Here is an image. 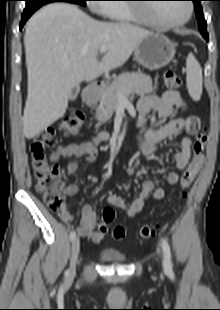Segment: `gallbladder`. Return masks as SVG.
<instances>
[{"label":"gallbladder","instance_id":"obj_1","mask_svg":"<svg viewBox=\"0 0 220 310\" xmlns=\"http://www.w3.org/2000/svg\"><path fill=\"white\" fill-rule=\"evenodd\" d=\"M79 91H80V86L79 85H76V86L73 87L71 95H70V100L71 101H74L77 98V95H78Z\"/></svg>","mask_w":220,"mask_h":310}]
</instances>
